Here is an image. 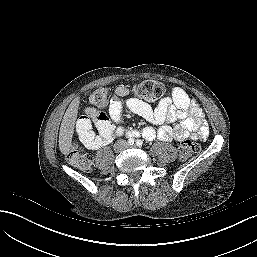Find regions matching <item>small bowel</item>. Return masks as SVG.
<instances>
[{
    "mask_svg": "<svg viewBox=\"0 0 257 257\" xmlns=\"http://www.w3.org/2000/svg\"><path fill=\"white\" fill-rule=\"evenodd\" d=\"M128 94L124 86L114 90L108 115L98 113L81 117L76 124V131L81 142L90 149H99L108 145L115 134H121L122 126L116 127L123 120V106L147 121L161 125L158 129L145 127L141 134L146 140L158 138L162 141H184L188 138L204 140L209 134V128L204 121V114L198 104L189 98L181 88H173L158 105L153 108L137 98H129L123 103V97ZM93 124L97 133L92 129Z\"/></svg>",
    "mask_w": 257,
    "mask_h": 257,
    "instance_id": "1",
    "label": "small bowel"
}]
</instances>
